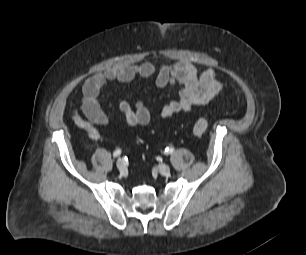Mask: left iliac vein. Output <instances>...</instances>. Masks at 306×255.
I'll return each instance as SVG.
<instances>
[{"label":"left iliac vein","instance_id":"4c4485c4","mask_svg":"<svg viewBox=\"0 0 306 255\" xmlns=\"http://www.w3.org/2000/svg\"><path fill=\"white\" fill-rule=\"evenodd\" d=\"M170 166L167 164H160L158 166V171L161 175L168 176L170 174Z\"/></svg>","mask_w":306,"mask_h":255}]
</instances>
